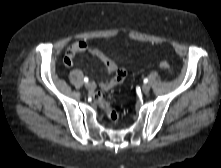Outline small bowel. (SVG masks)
Wrapping results in <instances>:
<instances>
[{"mask_svg":"<svg viewBox=\"0 0 221 168\" xmlns=\"http://www.w3.org/2000/svg\"><path fill=\"white\" fill-rule=\"evenodd\" d=\"M85 51L95 56L106 67L108 76H113L112 78L100 79L98 81L100 88L108 90L125 79L126 72L124 69L118 68L116 62L112 58L108 57L97 47L89 46L84 41H76L68 47L64 57V63L67 66H71L75 55Z\"/></svg>","mask_w":221,"mask_h":168,"instance_id":"1","label":"small bowel"}]
</instances>
